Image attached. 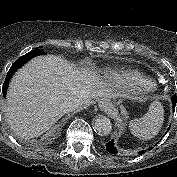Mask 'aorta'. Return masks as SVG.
<instances>
[{
    "label": "aorta",
    "instance_id": "obj_1",
    "mask_svg": "<svg viewBox=\"0 0 177 177\" xmlns=\"http://www.w3.org/2000/svg\"><path fill=\"white\" fill-rule=\"evenodd\" d=\"M93 129L99 135H109L112 130V124L109 118L98 116L93 122Z\"/></svg>",
    "mask_w": 177,
    "mask_h": 177
}]
</instances>
